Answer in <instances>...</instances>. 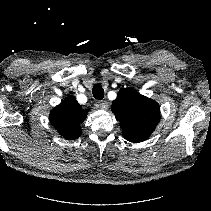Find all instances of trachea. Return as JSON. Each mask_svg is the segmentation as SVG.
<instances>
[{
  "label": "trachea",
  "instance_id": "1",
  "mask_svg": "<svg viewBox=\"0 0 211 211\" xmlns=\"http://www.w3.org/2000/svg\"><path fill=\"white\" fill-rule=\"evenodd\" d=\"M92 93L95 99L102 100L104 98V89L100 84L93 86Z\"/></svg>",
  "mask_w": 211,
  "mask_h": 211
}]
</instances>
